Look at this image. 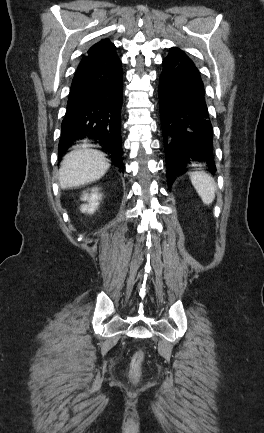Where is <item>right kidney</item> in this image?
<instances>
[{
  "label": "right kidney",
  "mask_w": 264,
  "mask_h": 433,
  "mask_svg": "<svg viewBox=\"0 0 264 433\" xmlns=\"http://www.w3.org/2000/svg\"><path fill=\"white\" fill-rule=\"evenodd\" d=\"M99 197L100 196H98V194L96 192H93L90 196H89L88 193H84L83 197H82V200H84V201L88 200L89 201V205L83 206L81 208V211L82 212L93 213L96 210V208H97V206L99 204L97 202V200L99 199Z\"/></svg>",
  "instance_id": "ca27d5eb"
}]
</instances>
